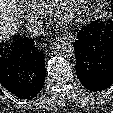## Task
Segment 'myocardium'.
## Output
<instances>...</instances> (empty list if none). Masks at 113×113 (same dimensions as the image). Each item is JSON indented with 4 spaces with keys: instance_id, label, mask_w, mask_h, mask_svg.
Here are the masks:
<instances>
[{
    "instance_id": "1",
    "label": "myocardium",
    "mask_w": 113,
    "mask_h": 113,
    "mask_svg": "<svg viewBox=\"0 0 113 113\" xmlns=\"http://www.w3.org/2000/svg\"><path fill=\"white\" fill-rule=\"evenodd\" d=\"M89 0H57L54 5L56 18L65 25L82 22L89 8Z\"/></svg>"
}]
</instances>
